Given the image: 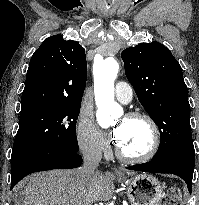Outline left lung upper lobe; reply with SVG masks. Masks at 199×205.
<instances>
[{"label":"left lung upper lobe","mask_w":199,"mask_h":205,"mask_svg":"<svg viewBox=\"0 0 199 205\" xmlns=\"http://www.w3.org/2000/svg\"><path fill=\"white\" fill-rule=\"evenodd\" d=\"M121 57L127 79L161 133L153 160L174 154L195 155L188 90L181 66L170 50L153 41L127 48Z\"/></svg>","instance_id":"left-lung-upper-lobe-1"}]
</instances>
